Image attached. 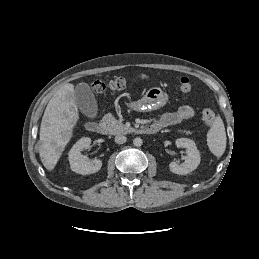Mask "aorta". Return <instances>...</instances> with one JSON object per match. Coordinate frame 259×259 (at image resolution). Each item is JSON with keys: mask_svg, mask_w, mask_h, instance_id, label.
<instances>
[{"mask_svg": "<svg viewBox=\"0 0 259 259\" xmlns=\"http://www.w3.org/2000/svg\"><path fill=\"white\" fill-rule=\"evenodd\" d=\"M133 144L136 147H140L143 144V141H142V139L140 137H136L133 140Z\"/></svg>", "mask_w": 259, "mask_h": 259, "instance_id": "aorta-1", "label": "aorta"}]
</instances>
